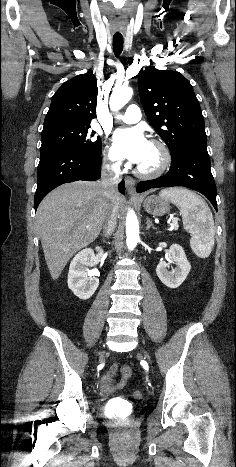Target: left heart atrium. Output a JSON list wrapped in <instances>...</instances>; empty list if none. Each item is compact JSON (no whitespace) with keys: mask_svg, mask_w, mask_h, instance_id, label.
<instances>
[{"mask_svg":"<svg viewBox=\"0 0 236 467\" xmlns=\"http://www.w3.org/2000/svg\"><path fill=\"white\" fill-rule=\"evenodd\" d=\"M113 141L117 155L135 164L144 159L150 144L139 127L117 129Z\"/></svg>","mask_w":236,"mask_h":467,"instance_id":"1","label":"left heart atrium"}]
</instances>
